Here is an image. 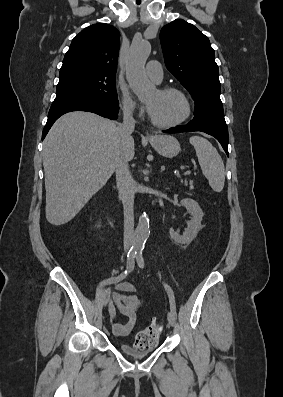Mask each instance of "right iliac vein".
I'll return each instance as SVG.
<instances>
[{"instance_id": "63e3f726", "label": "right iliac vein", "mask_w": 283, "mask_h": 397, "mask_svg": "<svg viewBox=\"0 0 283 397\" xmlns=\"http://www.w3.org/2000/svg\"><path fill=\"white\" fill-rule=\"evenodd\" d=\"M109 300H110V289H107L106 292H105V298H104V305L105 306L107 305Z\"/></svg>"}]
</instances>
